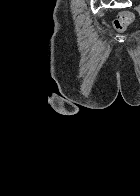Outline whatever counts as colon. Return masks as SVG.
Listing matches in <instances>:
<instances>
[{"label":"colon","instance_id":"1","mask_svg":"<svg viewBox=\"0 0 140 196\" xmlns=\"http://www.w3.org/2000/svg\"><path fill=\"white\" fill-rule=\"evenodd\" d=\"M134 16L129 11H122L113 21V26L118 31L125 30L132 22Z\"/></svg>","mask_w":140,"mask_h":196}]
</instances>
